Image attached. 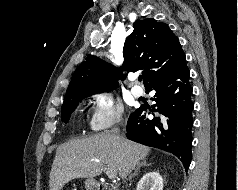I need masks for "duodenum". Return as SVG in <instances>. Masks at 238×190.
I'll return each mask as SVG.
<instances>
[{
  "mask_svg": "<svg viewBox=\"0 0 238 190\" xmlns=\"http://www.w3.org/2000/svg\"><path fill=\"white\" fill-rule=\"evenodd\" d=\"M95 190H116V188L107 183H96Z\"/></svg>",
  "mask_w": 238,
  "mask_h": 190,
  "instance_id": "1",
  "label": "duodenum"
}]
</instances>
